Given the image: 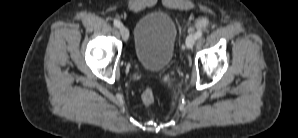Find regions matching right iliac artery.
<instances>
[{"instance_id": "1", "label": "right iliac artery", "mask_w": 298, "mask_h": 138, "mask_svg": "<svg viewBox=\"0 0 298 138\" xmlns=\"http://www.w3.org/2000/svg\"><path fill=\"white\" fill-rule=\"evenodd\" d=\"M114 26L120 28L122 26V23L119 20H114Z\"/></svg>"}]
</instances>
